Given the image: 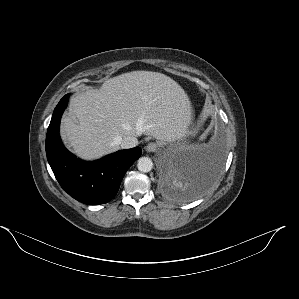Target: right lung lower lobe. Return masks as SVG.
I'll use <instances>...</instances> for the list:
<instances>
[{
    "label": "right lung lower lobe",
    "mask_w": 299,
    "mask_h": 299,
    "mask_svg": "<svg viewBox=\"0 0 299 299\" xmlns=\"http://www.w3.org/2000/svg\"><path fill=\"white\" fill-rule=\"evenodd\" d=\"M68 99L67 94L60 100L47 130L48 162L57 181L71 197L89 205L107 203L117 194L125 173L141 156L142 150L139 147L120 150L94 162L77 159L64 147L59 135Z\"/></svg>",
    "instance_id": "1"
}]
</instances>
